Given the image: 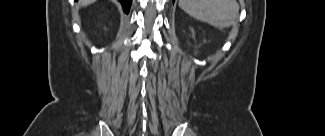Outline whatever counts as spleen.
<instances>
[{
    "instance_id": "3e777b00",
    "label": "spleen",
    "mask_w": 325,
    "mask_h": 136,
    "mask_svg": "<svg viewBox=\"0 0 325 136\" xmlns=\"http://www.w3.org/2000/svg\"><path fill=\"white\" fill-rule=\"evenodd\" d=\"M232 3L224 0H180L179 7L191 17L220 29L233 17Z\"/></svg>"
}]
</instances>
